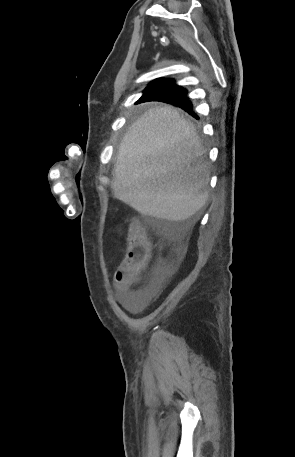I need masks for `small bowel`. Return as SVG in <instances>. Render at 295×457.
I'll return each instance as SVG.
<instances>
[{"instance_id": "1", "label": "small bowel", "mask_w": 295, "mask_h": 457, "mask_svg": "<svg viewBox=\"0 0 295 457\" xmlns=\"http://www.w3.org/2000/svg\"><path fill=\"white\" fill-rule=\"evenodd\" d=\"M115 285L119 292L120 300L123 306L131 311L138 312L143 310L150 303L152 296L147 290L133 291L125 276L115 274Z\"/></svg>"}]
</instances>
